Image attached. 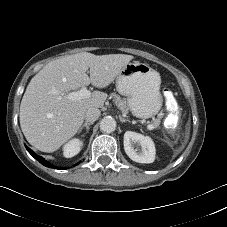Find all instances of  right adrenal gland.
I'll return each instance as SVG.
<instances>
[{
    "label": "right adrenal gland",
    "instance_id": "obj_1",
    "mask_svg": "<svg viewBox=\"0 0 227 227\" xmlns=\"http://www.w3.org/2000/svg\"><path fill=\"white\" fill-rule=\"evenodd\" d=\"M93 123H84L78 130V133H80L84 128H86V133H88L89 129H90V125H92Z\"/></svg>",
    "mask_w": 227,
    "mask_h": 227
}]
</instances>
